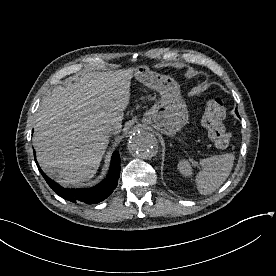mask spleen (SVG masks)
Listing matches in <instances>:
<instances>
[{
	"label": "spleen",
	"instance_id": "spleen-1",
	"mask_svg": "<svg viewBox=\"0 0 276 276\" xmlns=\"http://www.w3.org/2000/svg\"><path fill=\"white\" fill-rule=\"evenodd\" d=\"M234 159L232 153H226L201 161L202 170L196 176L197 189L201 195L213 193L225 182L234 165ZM177 169L183 176L192 174V167L185 159L179 161Z\"/></svg>",
	"mask_w": 276,
	"mask_h": 276
}]
</instances>
